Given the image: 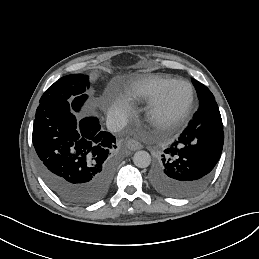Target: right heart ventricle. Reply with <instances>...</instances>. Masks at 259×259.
<instances>
[{
	"instance_id": "obj_1",
	"label": "right heart ventricle",
	"mask_w": 259,
	"mask_h": 259,
	"mask_svg": "<svg viewBox=\"0 0 259 259\" xmlns=\"http://www.w3.org/2000/svg\"><path fill=\"white\" fill-rule=\"evenodd\" d=\"M144 88L141 87L138 83H133L127 88L126 95L134 102L138 103L140 99L142 98L143 92L145 91L146 94V85L144 81ZM145 98V96H144Z\"/></svg>"
}]
</instances>
